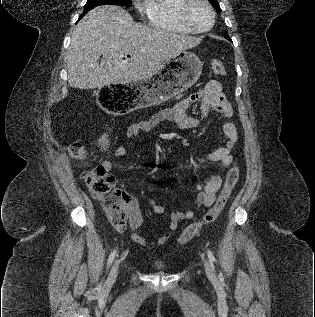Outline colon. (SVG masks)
Instances as JSON below:
<instances>
[{
  "label": "colon",
  "mask_w": 315,
  "mask_h": 317,
  "mask_svg": "<svg viewBox=\"0 0 315 317\" xmlns=\"http://www.w3.org/2000/svg\"><path fill=\"white\" fill-rule=\"evenodd\" d=\"M210 66L216 75L224 76L226 74L222 61L213 59L210 61ZM111 138L112 134H106L100 139L103 149L108 147ZM67 151L69 156L75 160H85L89 156L86 147L81 142L69 144ZM239 175L240 169L237 165L228 170L216 202L201 220L184 229L178 238L179 245L189 242L204 226L218 218L238 183ZM82 179L92 195L102 201L104 212L112 226L117 230H123L126 227L129 215L128 203L123 193L115 187L114 177L102 165H98L84 171Z\"/></svg>",
  "instance_id": "colon-1"
}]
</instances>
